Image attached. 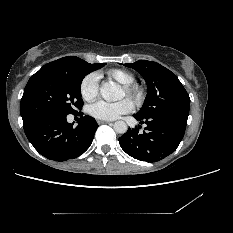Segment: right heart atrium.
Returning <instances> with one entry per match:
<instances>
[{"instance_id":"d8ad5b80","label":"right heart atrium","mask_w":233,"mask_h":233,"mask_svg":"<svg viewBox=\"0 0 233 233\" xmlns=\"http://www.w3.org/2000/svg\"><path fill=\"white\" fill-rule=\"evenodd\" d=\"M99 81L94 73L86 75L80 84V93L86 101H92L98 96Z\"/></svg>"}]
</instances>
